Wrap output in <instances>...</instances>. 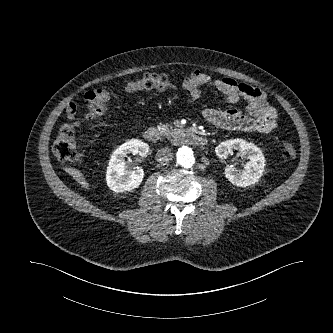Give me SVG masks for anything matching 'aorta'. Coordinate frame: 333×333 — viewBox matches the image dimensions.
<instances>
[{"label":"aorta","mask_w":333,"mask_h":333,"mask_svg":"<svg viewBox=\"0 0 333 333\" xmlns=\"http://www.w3.org/2000/svg\"><path fill=\"white\" fill-rule=\"evenodd\" d=\"M177 161L184 168H191L195 164V157L191 148L182 146L177 151Z\"/></svg>","instance_id":"762f6f07"}]
</instances>
